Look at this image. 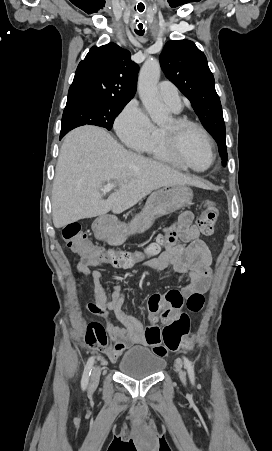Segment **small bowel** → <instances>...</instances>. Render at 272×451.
I'll return each instance as SVG.
<instances>
[{"label":"small bowel","mask_w":272,"mask_h":451,"mask_svg":"<svg viewBox=\"0 0 272 451\" xmlns=\"http://www.w3.org/2000/svg\"><path fill=\"white\" fill-rule=\"evenodd\" d=\"M193 214L183 212L175 223L165 229V235L158 237L165 250L159 256L147 261L145 266L161 271H172L178 280L188 279L190 283L181 290H170L164 294L154 292L148 299L150 318L160 316L163 322L176 317L188 302L190 295L205 293L212 281V254L207 244L201 239V231L193 223ZM150 249H157L151 246ZM92 270H84L85 275L92 280L94 301L85 306L88 314L103 318L107 321V332L113 342L103 348L108 359L114 363L121 353L131 345L146 344L144 328L140 321L130 315L125 309L126 292L121 283L114 285L108 294L102 284V274L95 267H106L105 259L91 256ZM134 262L138 255H134ZM109 311H113L116 318L123 324L120 328L110 321Z\"/></svg>","instance_id":"obj_1"}]
</instances>
